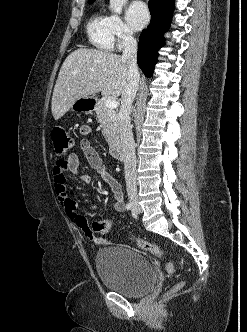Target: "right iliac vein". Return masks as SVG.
I'll use <instances>...</instances> for the list:
<instances>
[{
    "instance_id": "obj_1",
    "label": "right iliac vein",
    "mask_w": 247,
    "mask_h": 332,
    "mask_svg": "<svg viewBox=\"0 0 247 332\" xmlns=\"http://www.w3.org/2000/svg\"><path fill=\"white\" fill-rule=\"evenodd\" d=\"M132 205H133V207H134L135 210L140 211V207H139V205H138V203L136 201H133Z\"/></svg>"
}]
</instances>
